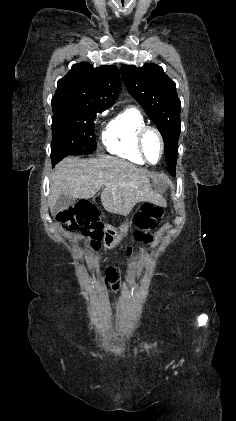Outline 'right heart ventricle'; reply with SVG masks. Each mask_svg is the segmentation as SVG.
Instances as JSON below:
<instances>
[{
  "mask_svg": "<svg viewBox=\"0 0 236 421\" xmlns=\"http://www.w3.org/2000/svg\"><path fill=\"white\" fill-rule=\"evenodd\" d=\"M146 125L142 112L129 106L108 122L102 132V143L110 153L132 163L145 161L137 147V133Z\"/></svg>",
  "mask_w": 236,
  "mask_h": 421,
  "instance_id": "obj_1",
  "label": "right heart ventricle"
}]
</instances>
